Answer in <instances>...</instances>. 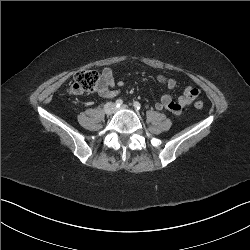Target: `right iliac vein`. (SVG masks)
Wrapping results in <instances>:
<instances>
[{"mask_svg": "<svg viewBox=\"0 0 250 250\" xmlns=\"http://www.w3.org/2000/svg\"><path fill=\"white\" fill-rule=\"evenodd\" d=\"M114 111H115V105L113 103L110 102L104 106V112L107 115H111L112 113H114Z\"/></svg>", "mask_w": 250, "mask_h": 250, "instance_id": "1", "label": "right iliac vein"}]
</instances>
